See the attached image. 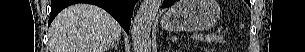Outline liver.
<instances>
[{
  "instance_id": "liver-1",
  "label": "liver",
  "mask_w": 305,
  "mask_h": 52,
  "mask_svg": "<svg viewBox=\"0 0 305 52\" xmlns=\"http://www.w3.org/2000/svg\"><path fill=\"white\" fill-rule=\"evenodd\" d=\"M121 27L105 10L75 4L61 11L49 29V52H105L119 40Z\"/></svg>"
}]
</instances>
